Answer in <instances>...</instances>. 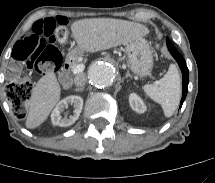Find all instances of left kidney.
<instances>
[{
    "label": "left kidney",
    "instance_id": "obj_1",
    "mask_svg": "<svg viewBox=\"0 0 215 183\" xmlns=\"http://www.w3.org/2000/svg\"><path fill=\"white\" fill-rule=\"evenodd\" d=\"M129 104L130 107L137 113H144L146 111V105L136 93L130 94Z\"/></svg>",
    "mask_w": 215,
    "mask_h": 183
}]
</instances>
